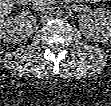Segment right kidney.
Wrapping results in <instances>:
<instances>
[{"label": "right kidney", "instance_id": "ca27d5eb", "mask_svg": "<svg viewBox=\"0 0 111 106\" xmlns=\"http://www.w3.org/2000/svg\"><path fill=\"white\" fill-rule=\"evenodd\" d=\"M35 24V16L28 11H24L17 15L10 16L3 21L1 36L9 43L19 42L32 34Z\"/></svg>", "mask_w": 111, "mask_h": 106}]
</instances>
